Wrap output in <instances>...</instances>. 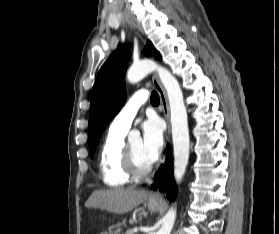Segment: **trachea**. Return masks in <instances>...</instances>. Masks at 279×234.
Here are the masks:
<instances>
[{
    "mask_svg": "<svg viewBox=\"0 0 279 234\" xmlns=\"http://www.w3.org/2000/svg\"><path fill=\"white\" fill-rule=\"evenodd\" d=\"M150 102L153 105H157L160 102L159 95L156 92L151 93Z\"/></svg>",
    "mask_w": 279,
    "mask_h": 234,
    "instance_id": "3493384b",
    "label": "trachea"
}]
</instances>
